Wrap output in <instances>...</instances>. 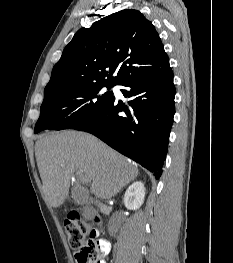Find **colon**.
<instances>
[{"label": "colon", "instance_id": "colon-1", "mask_svg": "<svg viewBox=\"0 0 233 263\" xmlns=\"http://www.w3.org/2000/svg\"><path fill=\"white\" fill-rule=\"evenodd\" d=\"M97 220V218H95ZM66 235L78 263H100L101 243L85 216L73 213L64 222Z\"/></svg>", "mask_w": 233, "mask_h": 263}]
</instances>
